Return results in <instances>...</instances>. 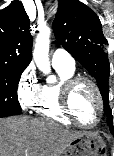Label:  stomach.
Here are the masks:
<instances>
[{"label": "stomach", "instance_id": "stomach-1", "mask_svg": "<svg viewBox=\"0 0 114 156\" xmlns=\"http://www.w3.org/2000/svg\"><path fill=\"white\" fill-rule=\"evenodd\" d=\"M61 156H107V147L97 133L83 132L68 143Z\"/></svg>", "mask_w": 114, "mask_h": 156}]
</instances>
